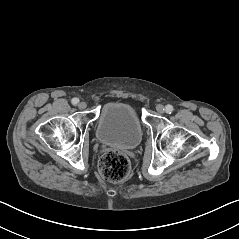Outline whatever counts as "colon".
Listing matches in <instances>:
<instances>
[{"label":"colon","mask_w":239,"mask_h":239,"mask_svg":"<svg viewBox=\"0 0 239 239\" xmlns=\"http://www.w3.org/2000/svg\"><path fill=\"white\" fill-rule=\"evenodd\" d=\"M99 171L106 180L120 182L130 172L129 158L119 152H107L100 159Z\"/></svg>","instance_id":"5ec220e1"}]
</instances>
